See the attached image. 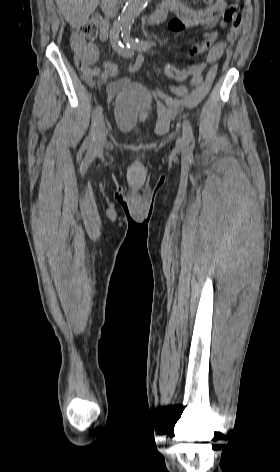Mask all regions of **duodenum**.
Returning <instances> with one entry per match:
<instances>
[{"label":"duodenum","instance_id":"410a0bca","mask_svg":"<svg viewBox=\"0 0 280 472\" xmlns=\"http://www.w3.org/2000/svg\"><path fill=\"white\" fill-rule=\"evenodd\" d=\"M117 1L118 0H102L101 8L108 17H113L115 15L116 10H117ZM168 13H169L168 8L161 4L151 14L148 22L150 24L161 23L166 19Z\"/></svg>","mask_w":280,"mask_h":472}]
</instances>
